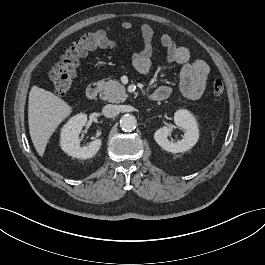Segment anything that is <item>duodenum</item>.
Instances as JSON below:
<instances>
[{"label": "duodenum", "mask_w": 265, "mask_h": 265, "mask_svg": "<svg viewBox=\"0 0 265 265\" xmlns=\"http://www.w3.org/2000/svg\"><path fill=\"white\" fill-rule=\"evenodd\" d=\"M99 85L98 84H90L87 89H86V97L88 100H95L99 94ZM163 96L159 93H152L149 96V99L151 101H158V100H163Z\"/></svg>", "instance_id": "410a0bca"}]
</instances>
